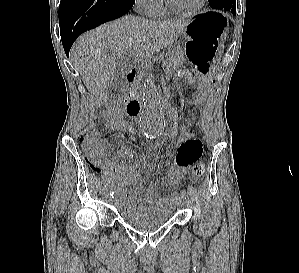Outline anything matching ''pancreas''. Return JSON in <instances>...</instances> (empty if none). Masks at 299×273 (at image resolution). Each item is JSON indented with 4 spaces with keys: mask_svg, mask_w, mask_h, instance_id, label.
<instances>
[{
    "mask_svg": "<svg viewBox=\"0 0 299 273\" xmlns=\"http://www.w3.org/2000/svg\"><path fill=\"white\" fill-rule=\"evenodd\" d=\"M184 61H185L184 50L182 49V47L175 48L169 54V58L165 62V66H166L165 73L166 74L174 73L177 69L183 66Z\"/></svg>",
    "mask_w": 299,
    "mask_h": 273,
    "instance_id": "obj_1",
    "label": "pancreas"
}]
</instances>
